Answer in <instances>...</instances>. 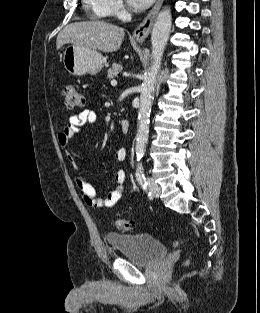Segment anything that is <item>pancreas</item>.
I'll list each match as a JSON object with an SVG mask.
<instances>
[{
  "mask_svg": "<svg viewBox=\"0 0 260 313\" xmlns=\"http://www.w3.org/2000/svg\"><path fill=\"white\" fill-rule=\"evenodd\" d=\"M122 65L114 63L112 67L107 70V79H113L122 71Z\"/></svg>",
  "mask_w": 260,
  "mask_h": 313,
  "instance_id": "pancreas-1",
  "label": "pancreas"
}]
</instances>
